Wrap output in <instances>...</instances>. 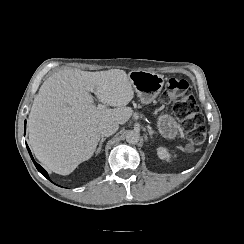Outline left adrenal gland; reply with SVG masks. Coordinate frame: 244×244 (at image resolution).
<instances>
[{
  "label": "left adrenal gland",
  "instance_id": "1",
  "mask_svg": "<svg viewBox=\"0 0 244 244\" xmlns=\"http://www.w3.org/2000/svg\"><path fill=\"white\" fill-rule=\"evenodd\" d=\"M154 133V131L153 130H151V129H149V135H150V137L152 138V134Z\"/></svg>",
  "mask_w": 244,
  "mask_h": 244
}]
</instances>
